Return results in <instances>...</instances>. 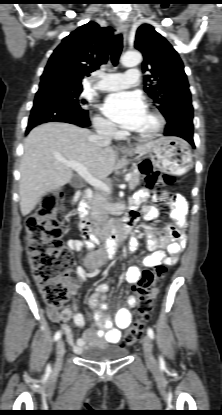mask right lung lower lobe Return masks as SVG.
I'll use <instances>...</instances> for the list:
<instances>
[{
  "label": "right lung lower lobe",
  "instance_id": "1",
  "mask_svg": "<svg viewBox=\"0 0 222 415\" xmlns=\"http://www.w3.org/2000/svg\"><path fill=\"white\" fill-rule=\"evenodd\" d=\"M61 83L50 79L40 83L26 133L36 125L53 121L90 126L88 111L63 90Z\"/></svg>",
  "mask_w": 222,
  "mask_h": 415
}]
</instances>
